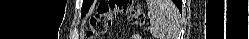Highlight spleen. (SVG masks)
Masks as SVG:
<instances>
[{
    "label": "spleen",
    "mask_w": 249,
    "mask_h": 39,
    "mask_svg": "<svg viewBox=\"0 0 249 39\" xmlns=\"http://www.w3.org/2000/svg\"><path fill=\"white\" fill-rule=\"evenodd\" d=\"M148 17L151 22V32L157 39H169L172 31V20H177L178 12L170 7L169 1L148 0Z\"/></svg>",
    "instance_id": "1"
}]
</instances>
